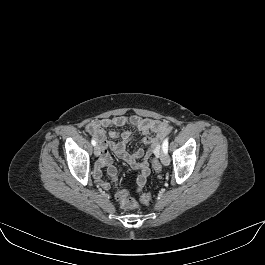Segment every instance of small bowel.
Listing matches in <instances>:
<instances>
[{"label":"small bowel","instance_id":"small-bowel-1","mask_svg":"<svg viewBox=\"0 0 265 265\" xmlns=\"http://www.w3.org/2000/svg\"><path fill=\"white\" fill-rule=\"evenodd\" d=\"M125 125L136 127L142 134V143L146 149H138L130 154L126 151V145L133 139L130 131L119 132L111 130L109 136L112 139L120 141H111L107 139L105 128H118ZM86 131L93 136L103 148L101 158L95 169V178L99 186L105 190L109 188V183L102 179V168L106 167L108 174L115 179L116 167L112 163V158L108 153L109 148L114 154L127 163L131 168L139 170L140 173L136 179L137 191H141L147 182L151 169L148 162L152 155H158L159 146L162 140L171 132V126L166 122L153 118L141 116H113L108 118L96 119L89 122Z\"/></svg>","mask_w":265,"mask_h":265}]
</instances>
